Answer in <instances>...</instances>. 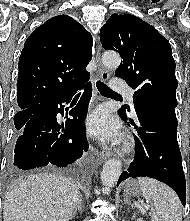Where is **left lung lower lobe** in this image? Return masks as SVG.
Masks as SVG:
<instances>
[{"label":"left lung lower lobe","mask_w":190,"mask_h":221,"mask_svg":"<svg viewBox=\"0 0 190 221\" xmlns=\"http://www.w3.org/2000/svg\"><path fill=\"white\" fill-rule=\"evenodd\" d=\"M140 127L127 116L120 117L138 132L136 154L129 169L124 171L117 186L129 177H150L170 186L186 203V182L177 142L175 107L163 103H143L135 106Z\"/></svg>","instance_id":"0a47b994"}]
</instances>
